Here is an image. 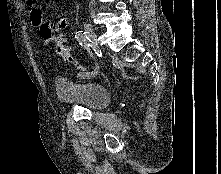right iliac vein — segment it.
Wrapping results in <instances>:
<instances>
[{"label":"right iliac vein","mask_w":221,"mask_h":174,"mask_svg":"<svg viewBox=\"0 0 221 174\" xmlns=\"http://www.w3.org/2000/svg\"><path fill=\"white\" fill-rule=\"evenodd\" d=\"M86 35L91 39L93 45H97V35L91 24L85 23L84 25Z\"/></svg>","instance_id":"63e3f726"}]
</instances>
